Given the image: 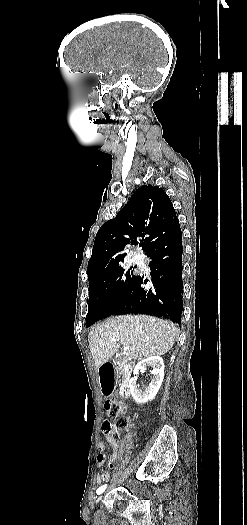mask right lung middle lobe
I'll return each mask as SVG.
<instances>
[{
	"instance_id": "right-lung-middle-lobe-1",
	"label": "right lung middle lobe",
	"mask_w": 247,
	"mask_h": 525,
	"mask_svg": "<svg viewBox=\"0 0 247 525\" xmlns=\"http://www.w3.org/2000/svg\"><path fill=\"white\" fill-rule=\"evenodd\" d=\"M130 268L125 274L122 267L88 275L89 303L87 326L113 314L125 297L135 275Z\"/></svg>"
}]
</instances>
